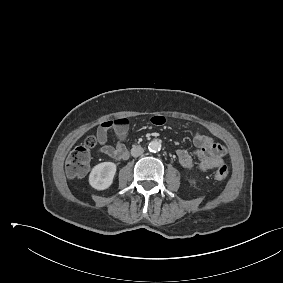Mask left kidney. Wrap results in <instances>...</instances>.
<instances>
[{
	"instance_id": "obj_1",
	"label": "left kidney",
	"mask_w": 283,
	"mask_h": 283,
	"mask_svg": "<svg viewBox=\"0 0 283 283\" xmlns=\"http://www.w3.org/2000/svg\"><path fill=\"white\" fill-rule=\"evenodd\" d=\"M191 182L194 183V184L196 183L194 179H192Z\"/></svg>"
}]
</instances>
